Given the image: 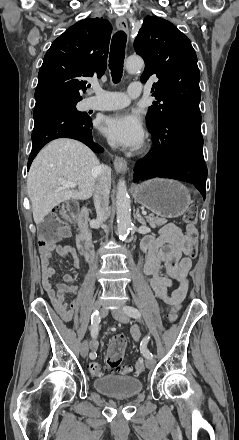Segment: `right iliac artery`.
Instances as JSON below:
<instances>
[{"label":"right iliac artery","mask_w":239,"mask_h":440,"mask_svg":"<svg viewBox=\"0 0 239 440\" xmlns=\"http://www.w3.org/2000/svg\"><path fill=\"white\" fill-rule=\"evenodd\" d=\"M100 321H101V317L99 315V312L98 310H95L91 316V326H90L91 336L93 338H95L98 334V326L100 324ZM89 356L91 359H95L97 357V354L95 352H91Z\"/></svg>","instance_id":"1"}]
</instances>
